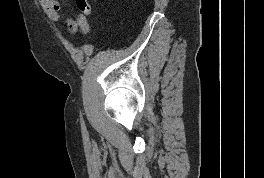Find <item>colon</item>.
Here are the masks:
<instances>
[{
  "mask_svg": "<svg viewBox=\"0 0 264 178\" xmlns=\"http://www.w3.org/2000/svg\"><path fill=\"white\" fill-rule=\"evenodd\" d=\"M77 3V8L80 12L81 15H83L86 19H88V17L91 14V4L89 0H76ZM82 31L84 33H88L89 31V26H85Z\"/></svg>",
  "mask_w": 264,
  "mask_h": 178,
  "instance_id": "colon-1",
  "label": "colon"
}]
</instances>
